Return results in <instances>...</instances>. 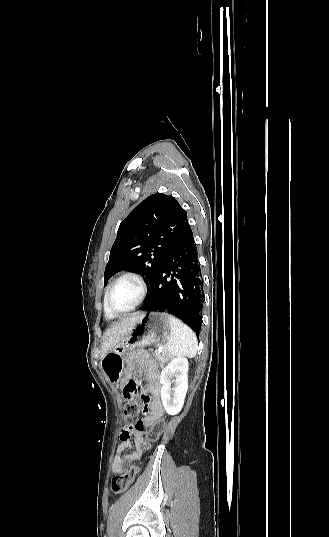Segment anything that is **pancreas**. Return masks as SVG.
<instances>
[{"instance_id": "cf45deb5", "label": "pancreas", "mask_w": 329, "mask_h": 537, "mask_svg": "<svg viewBox=\"0 0 329 537\" xmlns=\"http://www.w3.org/2000/svg\"><path fill=\"white\" fill-rule=\"evenodd\" d=\"M154 356L159 361L161 366H163L167 361L171 359V357L168 355V353L165 350H163L162 352L155 351Z\"/></svg>"}]
</instances>
